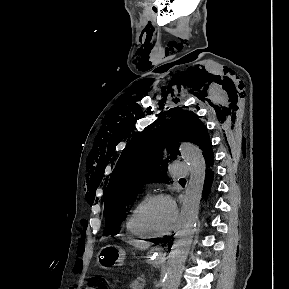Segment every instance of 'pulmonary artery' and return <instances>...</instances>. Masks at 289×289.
I'll list each match as a JSON object with an SVG mask.
<instances>
[{"label":"pulmonary artery","mask_w":289,"mask_h":289,"mask_svg":"<svg viewBox=\"0 0 289 289\" xmlns=\"http://www.w3.org/2000/svg\"><path fill=\"white\" fill-rule=\"evenodd\" d=\"M169 171L174 177L185 178L189 174V164L183 161H174L169 166Z\"/></svg>","instance_id":"e3ab8cb5"}]
</instances>
